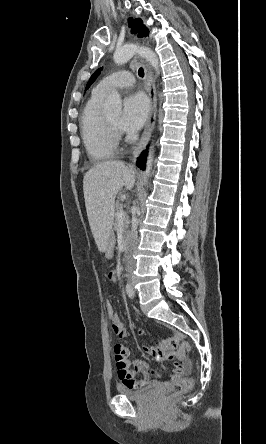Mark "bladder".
Segmentation results:
<instances>
[{"instance_id": "31cf9c89", "label": "bladder", "mask_w": 266, "mask_h": 444, "mask_svg": "<svg viewBox=\"0 0 266 444\" xmlns=\"http://www.w3.org/2000/svg\"><path fill=\"white\" fill-rule=\"evenodd\" d=\"M154 388H155L154 384L148 385V386L143 387L142 389H139V390H133V389L120 387L119 394H120V396H122L128 400L142 402V401L146 400L151 395Z\"/></svg>"}]
</instances>
